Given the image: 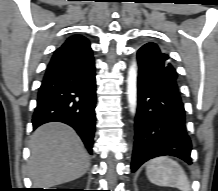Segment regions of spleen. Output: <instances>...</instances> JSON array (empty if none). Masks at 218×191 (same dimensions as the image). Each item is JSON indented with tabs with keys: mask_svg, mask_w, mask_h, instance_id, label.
I'll return each mask as SVG.
<instances>
[{
	"mask_svg": "<svg viewBox=\"0 0 218 191\" xmlns=\"http://www.w3.org/2000/svg\"><path fill=\"white\" fill-rule=\"evenodd\" d=\"M146 175L150 182L158 186L175 187L181 191H191L187 175L178 162L161 156L149 161Z\"/></svg>",
	"mask_w": 218,
	"mask_h": 191,
	"instance_id": "1",
	"label": "spleen"
}]
</instances>
